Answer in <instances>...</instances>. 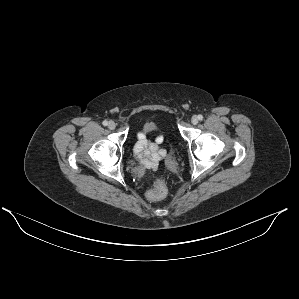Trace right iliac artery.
Segmentation results:
<instances>
[{
  "label": "right iliac artery",
  "mask_w": 299,
  "mask_h": 299,
  "mask_svg": "<svg viewBox=\"0 0 299 299\" xmlns=\"http://www.w3.org/2000/svg\"><path fill=\"white\" fill-rule=\"evenodd\" d=\"M102 124H103L104 126H107V125H108V122H107L106 120H104V121L102 122Z\"/></svg>",
  "instance_id": "82829eb1"
}]
</instances>
